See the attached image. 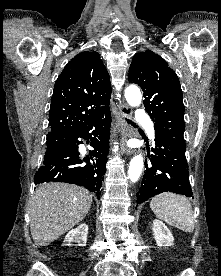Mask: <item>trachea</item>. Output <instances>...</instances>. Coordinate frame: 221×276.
I'll use <instances>...</instances> for the list:
<instances>
[{"label": "trachea", "instance_id": "trachea-1", "mask_svg": "<svg viewBox=\"0 0 221 276\" xmlns=\"http://www.w3.org/2000/svg\"><path fill=\"white\" fill-rule=\"evenodd\" d=\"M127 122L133 124L132 121H130V120H127Z\"/></svg>", "mask_w": 221, "mask_h": 276}]
</instances>
